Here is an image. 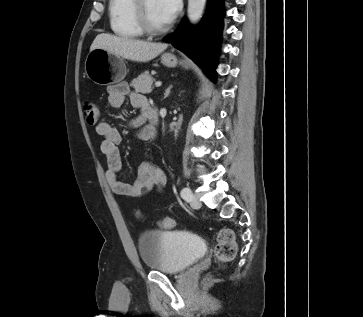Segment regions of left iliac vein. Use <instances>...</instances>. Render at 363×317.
<instances>
[{
    "label": "left iliac vein",
    "instance_id": "1",
    "mask_svg": "<svg viewBox=\"0 0 363 317\" xmlns=\"http://www.w3.org/2000/svg\"><path fill=\"white\" fill-rule=\"evenodd\" d=\"M189 202H190V206L194 209H199L201 207L200 200L194 194L191 195Z\"/></svg>",
    "mask_w": 363,
    "mask_h": 317
}]
</instances>
